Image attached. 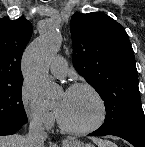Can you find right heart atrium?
Segmentation results:
<instances>
[{
  "label": "right heart atrium",
  "mask_w": 145,
  "mask_h": 147,
  "mask_svg": "<svg viewBox=\"0 0 145 147\" xmlns=\"http://www.w3.org/2000/svg\"><path fill=\"white\" fill-rule=\"evenodd\" d=\"M20 105L31 124L43 129H50L54 125L56 119L54 111L41 104L26 83L21 86Z\"/></svg>",
  "instance_id": "1"
}]
</instances>
